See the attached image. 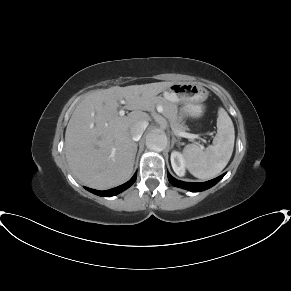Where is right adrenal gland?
<instances>
[{"label": "right adrenal gland", "mask_w": 291, "mask_h": 291, "mask_svg": "<svg viewBox=\"0 0 291 291\" xmlns=\"http://www.w3.org/2000/svg\"><path fill=\"white\" fill-rule=\"evenodd\" d=\"M137 146H138V144H136V152H137Z\"/></svg>", "instance_id": "right-adrenal-gland-1"}]
</instances>
